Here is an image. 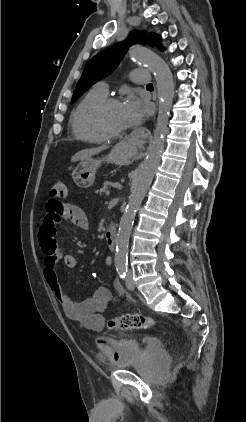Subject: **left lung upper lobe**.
Here are the masks:
<instances>
[{"mask_svg":"<svg viewBox=\"0 0 246 422\" xmlns=\"http://www.w3.org/2000/svg\"><path fill=\"white\" fill-rule=\"evenodd\" d=\"M146 43L163 50L159 35L135 30L124 41L112 45L91 58L77 83L71 103L81 97L93 84L108 76L119 65L130 46Z\"/></svg>","mask_w":246,"mask_h":422,"instance_id":"obj_1","label":"left lung upper lobe"}]
</instances>
